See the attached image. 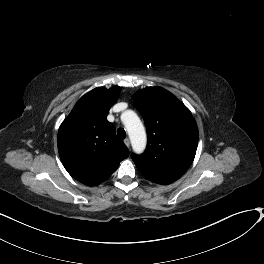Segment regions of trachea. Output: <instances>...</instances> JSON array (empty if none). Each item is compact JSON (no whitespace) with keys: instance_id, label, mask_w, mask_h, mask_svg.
<instances>
[{"instance_id":"obj_1","label":"trachea","mask_w":264,"mask_h":264,"mask_svg":"<svg viewBox=\"0 0 264 264\" xmlns=\"http://www.w3.org/2000/svg\"><path fill=\"white\" fill-rule=\"evenodd\" d=\"M117 136L120 138V139H124L126 137V132L123 128H118L117 130Z\"/></svg>"}]
</instances>
